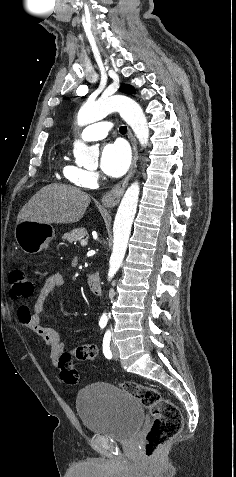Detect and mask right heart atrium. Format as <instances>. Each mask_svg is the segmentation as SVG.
Returning <instances> with one entry per match:
<instances>
[{
	"mask_svg": "<svg viewBox=\"0 0 236 477\" xmlns=\"http://www.w3.org/2000/svg\"><path fill=\"white\" fill-rule=\"evenodd\" d=\"M65 177L69 181L80 183L83 187H88L94 185L98 182L100 176L96 171H86L85 174L81 177L68 173Z\"/></svg>",
	"mask_w": 236,
	"mask_h": 477,
	"instance_id": "d8ad5b80",
	"label": "right heart atrium"
}]
</instances>
